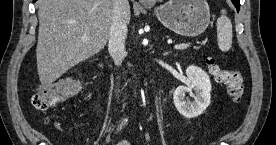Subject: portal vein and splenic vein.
<instances>
[{
  "instance_id": "1",
  "label": "portal vein and splenic vein",
  "mask_w": 276,
  "mask_h": 145,
  "mask_svg": "<svg viewBox=\"0 0 276 145\" xmlns=\"http://www.w3.org/2000/svg\"><path fill=\"white\" fill-rule=\"evenodd\" d=\"M83 40H86L87 37L86 36H83L82 37ZM189 45L188 44H178V45H175L174 48L177 49V50H183V49H186Z\"/></svg>"
}]
</instances>
